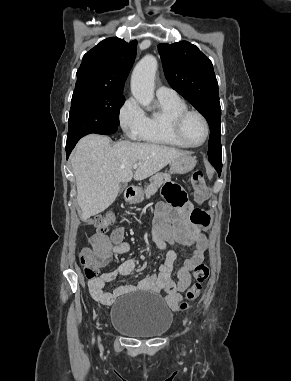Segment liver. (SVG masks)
<instances>
[{"mask_svg": "<svg viewBox=\"0 0 291 381\" xmlns=\"http://www.w3.org/2000/svg\"><path fill=\"white\" fill-rule=\"evenodd\" d=\"M184 154L187 152L152 143L119 141L112 146L107 136L83 137L71 156L81 220L107 209L117 198L121 182L144 180ZM135 163L139 166L133 174Z\"/></svg>", "mask_w": 291, "mask_h": 381, "instance_id": "obj_1", "label": "liver"}]
</instances>
